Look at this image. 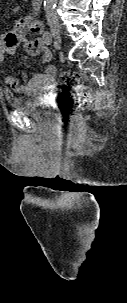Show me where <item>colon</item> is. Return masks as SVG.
Listing matches in <instances>:
<instances>
[{
    "label": "colon",
    "mask_w": 127,
    "mask_h": 303,
    "mask_svg": "<svg viewBox=\"0 0 127 303\" xmlns=\"http://www.w3.org/2000/svg\"><path fill=\"white\" fill-rule=\"evenodd\" d=\"M61 109L67 120L87 109L92 103V90L85 85L81 76L74 71H63L59 75Z\"/></svg>",
    "instance_id": "obj_1"
}]
</instances>
